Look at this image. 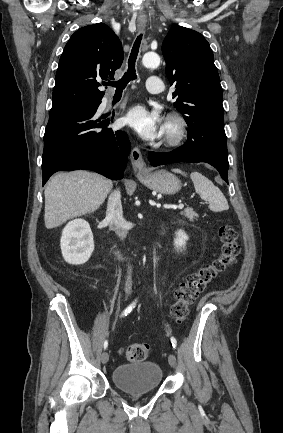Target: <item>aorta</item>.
I'll use <instances>...</instances> for the list:
<instances>
[{"label":"aorta","instance_id":"aorta-1","mask_svg":"<svg viewBox=\"0 0 283 433\" xmlns=\"http://www.w3.org/2000/svg\"><path fill=\"white\" fill-rule=\"evenodd\" d=\"M142 62L145 67L155 68L160 64V57L155 52H148L144 54Z\"/></svg>","mask_w":283,"mask_h":433}]
</instances>
